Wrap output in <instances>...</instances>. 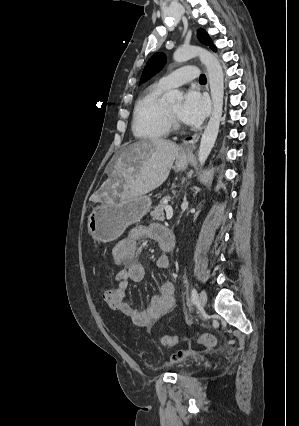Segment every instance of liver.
Segmentation results:
<instances>
[{"instance_id":"obj_1","label":"liver","mask_w":299,"mask_h":426,"mask_svg":"<svg viewBox=\"0 0 299 426\" xmlns=\"http://www.w3.org/2000/svg\"><path fill=\"white\" fill-rule=\"evenodd\" d=\"M178 153L176 143L161 138L143 139L125 146L112 173L116 179L112 187L124 182L122 199L158 188L167 179Z\"/></svg>"}]
</instances>
